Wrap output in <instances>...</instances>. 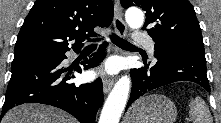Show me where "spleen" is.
<instances>
[{"label": "spleen", "mask_w": 221, "mask_h": 123, "mask_svg": "<svg viewBox=\"0 0 221 123\" xmlns=\"http://www.w3.org/2000/svg\"><path fill=\"white\" fill-rule=\"evenodd\" d=\"M189 115L193 123H212V116L206 102L197 97L191 98L189 104Z\"/></svg>", "instance_id": "obj_1"}]
</instances>
